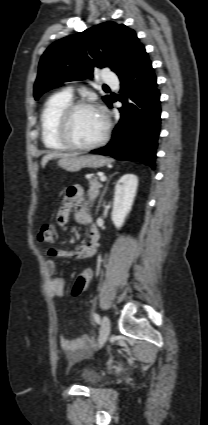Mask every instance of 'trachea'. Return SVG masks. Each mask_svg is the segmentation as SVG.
<instances>
[{
    "label": "trachea",
    "instance_id": "3493384b",
    "mask_svg": "<svg viewBox=\"0 0 208 425\" xmlns=\"http://www.w3.org/2000/svg\"><path fill=\"white\" fill-rule=\"evenodd\" d=\"M104 88H108V86H104Z\"/></svg>",
    "mask_w": 208,
    "mask_h": 425
}]
</instances>
